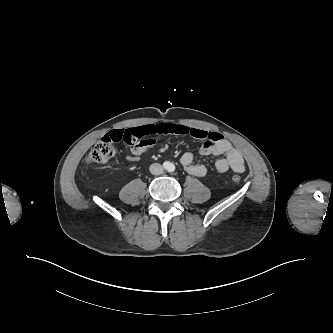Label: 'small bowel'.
Wrapping results in <instances>:
<instances>
[{
  "label": "small bowel",
  "mask_w": 333,
  "mask_h": 333,
  "mask_svg": "<svg viewBox=\"0 0 333 333\" xmlns=\"http://www.w3.org/2000/svg\"><path fill=\"white\" fill-rule=\"evenodd\" d=\"M164 134L188 135L203 141L199 153L204 156H224L216 161L215 167L219 173L232 170L237 173L245 171V162L241 153L221 134L209 132L198 128L181 124L159 123L128 129L112 130L105 136L114 142L123 141L131 147V153L127 156L129 161H136L145 151L157 146L156 136ZM160 150L166 148L158 146ZM181 163L188 174L196 177H204L207 168L203 164L194 163V155L186 152L181 157Z\"/></svg>",
  "instance_id": "obj_1"
}]
</instances>
